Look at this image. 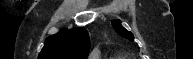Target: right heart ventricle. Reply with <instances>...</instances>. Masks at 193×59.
Masks as SVG:
<instances>
[{
  "label": "right heart ventricle",
  "instance_id": "1",
  "mask_svg": "<svg viewBox=\"0 0 193 59\" xmlns=\"http://www.w3.org/2000/svg\"><path fill=\"white\" fill-rule=\"evenodd\" d=\"M109 59H128L124 56H115V57H112V58H109Z\"/></svg>",
  "mask_w": 193,
  "mask_h": 59
}]
</instances>
